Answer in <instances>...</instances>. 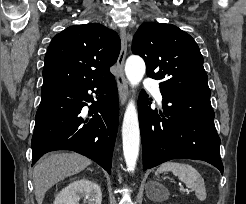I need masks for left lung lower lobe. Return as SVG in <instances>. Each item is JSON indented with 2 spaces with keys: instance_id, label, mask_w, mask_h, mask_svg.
I'll return each mask as SVG.
<instances>
[{
  "instance_id": "obj_1",
  "label": "left lung lower lobe",
  "mask_w": 246,
  "mask_h": 204,
  "mask_svg": "<svg viewBox=\"0 0 246 204\" xmlns=\"http://www.w3.org/2000/svg\"><path fill=\"white\" fill-rule=\"evenodd\" d=\"M163 113L150 108L144 90L138 100L143 170L172 159L206 161L223 173L220 138L214 125L210 93L160 89Z\"/></svg>"
}]
</instances>
